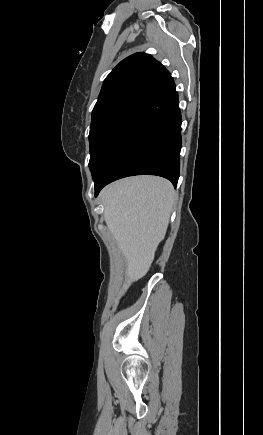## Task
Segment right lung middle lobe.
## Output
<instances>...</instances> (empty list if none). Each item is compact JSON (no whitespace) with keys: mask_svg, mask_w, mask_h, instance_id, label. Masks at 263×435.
Wrapping results in <instances>:
<instances>
[{"mask_svg":"<svg viewBox=\"0 0 263 435\" xmlns=\"http://www.w3.org/2000/svg\"><path fill=\"white\" fill-rule=\"evenodd\" d=\"M143 105L135 102H119L101 106L92 112L89 168L93 178Z\"/></svg>","mask_w":263,"mask_h":435,"instance_id":"right-lung-middle-lobe-1","label":"right lung middle lobe"}]
</instances>
